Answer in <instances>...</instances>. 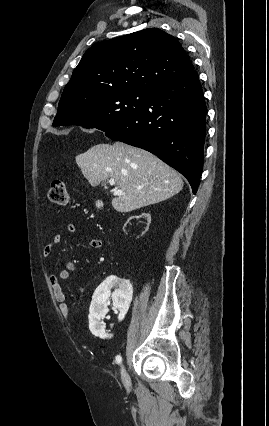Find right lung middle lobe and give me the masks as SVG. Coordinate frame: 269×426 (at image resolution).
<instances>
[{
  "label": "right lung middle lobe",
  "mask_w": 269,
  "mask_h": 426,
  "mask_svg": "<svg viewBox=\"0 0 269 426\" xmlns=\"http://www.w3.org/2000/svg\"><path fill=\"white\" fill-rule=\"evenodd\" d=\"M148 99L147 92L125 91L83 99H60L53 126L79 125L104 132L123 124L139 113Z\"/></svg>",
  "instance_id": "obj_1"
}]
</instances>
